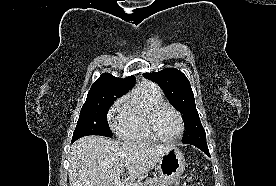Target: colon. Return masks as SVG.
Segmentation results:
<instances>
[{
    "label": "colon",
    "instance_id": "1",
    "mask_svg": "<svg viewBox=\"0 0 276 186\" xmlns=\"http://www.w3.org/2000/svg\"><path fill=\"white\" fill-rule=\"evenodd\" d=\"M179 186H205L201 177L195 175H185Z\"/></svg>",
    "mask_w": 276,
    "mask_h": 186
}]
</instances>
